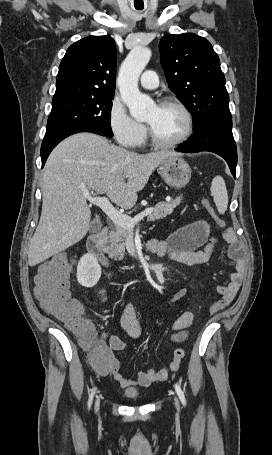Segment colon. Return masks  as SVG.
<instances>
[{
  "label": "colon",
  "instance_id": "colon-1",
  "mask_svg": "<svg viewBox=\"0 0 272 455\" xmlns=\"http://www.w3.org/2000/svg\"><path fill=\"white\" fill-rule=\"evenodd\" d=\"M202 204L216 225L224 228V221L216 214L210 202L203 199ZM69 273L70 261L67 252L58 253L48 259L39 267L35 277V296L49 314L82 339L83 344L90 349L91 362L96 366H103L107 362V348L94 342L93 325L82 316L81 304L71 299Z\"/></svg>",
  "mask_w": 272,
  "mask_h": 455
}]
</instances>
